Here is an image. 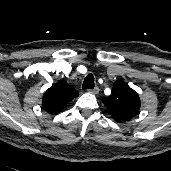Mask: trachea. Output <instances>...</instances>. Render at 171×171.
Here are the masks:
<instances>
[{
    "instance_id": "obj_1",
    "label": "trachea",
    "mask_w": 171,
    "mask_h": 171,
    "mask_svg": "<svg viewBox=\"0 0 171 171\" xmlns=\"http://www.w3.org/2000/svg\"><path fill=\"white\" fill-rule=\"evenodd\" d=\"M94 86H95L94 76L93 74L89 73L84 79L83 89H93Z\"/></svg>"
}]
</instances>
